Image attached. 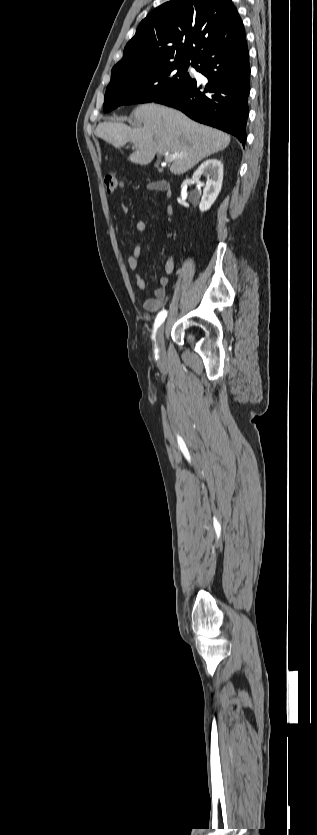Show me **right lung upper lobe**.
I'll list each match as a JSON object with an SVG mask.
<instances>
[{"instance_id": "obj_1", "label": "right lung upper lobe", "mask_w": 317, "mask_h": 835, "mask_svg": "<svg viewBox=\"0 0 317 835\" xmlns=\"http://www.w3.org/2000/svg\"><path fill=\"white\" fill-rule=\"evenodd\" d=\"M242 39L245 29L231 0L169 1L141 21L112 72L197 62L204 54Z\"/></svg>"}]
</instances>
